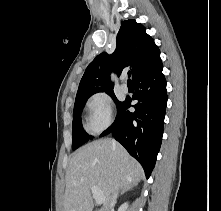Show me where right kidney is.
Wrapping results in <instances>:
<instances>
[{"label":"right kidney","instance_id":"right-kidney-1","mask_svg":"<svg viewBox=\"0 0 221 211\" xmlns=\"http://www.w3.org/2000/svg\"><path fill=\"white\" fill-rule=\"evenodd\" d=\"M127 208H128V203L125 202L124 204H122L120 206V208L118 209V211H127Z\"/></svg>","mask_w":221,"mask_h":211}]
</instances>
